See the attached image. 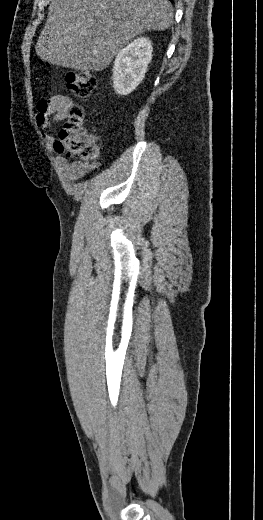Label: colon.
Here are the masks:
<instances>
[{"label": "colon", "mask_w": 263, "mask_h": 520, "mask_svg": "<svg viewBox=\"0 0 263 520\" xmlns=\"http://www.w3.org/2000/svg\"><path fill=\"white\" fill-rule=\"evenodd\" d=\"M66 84L71 92L80 100L90 97L96 86L93 75L88 71L68 72ZM83 109L80 105L69 108L68 120L58 132L55 148L59 153L82 161L94 160L98 156V146L83 131Z\"/></svg>", "instance_id": "1"}]
</instances>
